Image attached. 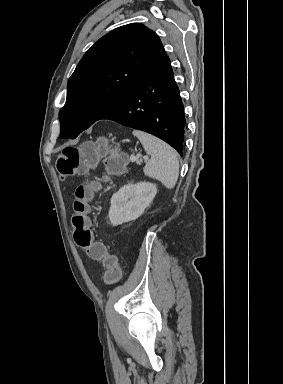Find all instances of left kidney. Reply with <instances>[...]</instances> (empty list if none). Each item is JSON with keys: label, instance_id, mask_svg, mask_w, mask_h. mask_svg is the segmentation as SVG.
Returning a JSON list of instances; mask_svg holds the SVG:
<instances>
[{"label": "left kidney", "instance_id": "5707ae66", "mask_svg": "<svg viewBox=\"0 0 283 384\" xmlns=\"http://www.w3.org/2000/svg\"><path fill=\"white\" fill-rule=\"evenodd\" d=\"M157 194L155 184L139 182L126 184L119 192L113 194L109 210V220L113 226H120L125 222H132L142 216Z\"/></svg>", "mask_w": 283, "mask_h": 384}]
</instances>
